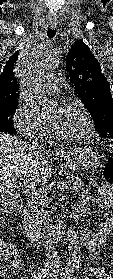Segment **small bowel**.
I'll list each match as a JSON object with an SVG mask.
<instances>
[{"label":"small bowel","instance_id":"small-bowel-1","mask_svg":"<svg viewBox=\"0 0 113 279\" xmlns=\"http://www.w3.org/2000/svg\"><path fill=\"white\" fill-rule=\"evenodd\" d=\"M89 194H90V189L89 188L84 189L81 203L85 204L86 200L89 197ZM97 204L101 207L112 206L113 193L107 192L106 196L100 197L98 199ZM109 236H113V217L103 222L98 231H96L95 233L87 237V244L95 259L100 258L101 252L103 248L106 246ZM19 264H20V260L19 257H17L16 260L12 263V265L14 267H17L19 266ZM90 273L96 279H113V272L109 273L103 267H98V266L91 267Z\"/></svg>","mask_w":113,"mask_h":279}]
</instances>
